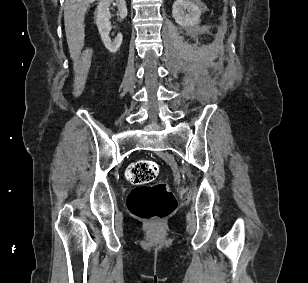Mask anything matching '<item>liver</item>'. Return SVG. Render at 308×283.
Here are the masks:
<instances>
[{
  "mask_svg": "<svg viewBox=\"0 0 308 283\" xmlns=\"http://www.w3.org/2000/svg\"><path fill=\"white\" fill-rule=\"evenodd\" d=\"M96 0H65L64 24L67 44L72 59H77L84 45V17Z\"/></svg>",
  "mask_w": 308,
  "mask_h": 283,
  "instance_id": "1",
  "label": "liver"
}]
</instances>
